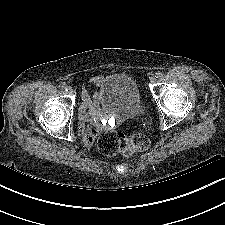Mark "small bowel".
<instances>
[{"mask_svg":"<svg viewBox=\"0 0 225 225\" xmlns=\"http://www.w3.org/2000/svg\"><path fill=\"white\" fill-rule=\"evenodd\" d=\"M102 80L103 78L101 76H96L92 78L91 83L100 85ZM82 100V104L78 109L80 128L85 144L87 146H92L98 132L96 119L100 114L99 99L97 94L91 96L85 89H83ZM87 123H91L92 125L87 126Z\"/></svg>","mask_w":225,"mask_h":225,"instance_id":"obj_1","label":"small bowel"}]
</instances>
